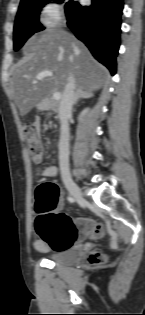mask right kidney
I'll list each match as a JSON object with an SVG mask.
<instances>
[{
    "instance_id": "right-kidney-1",
    "label": "right kidney",
    "mask_w": 145,
    "mask_h": 315,
    "mask_svg": "<svg viewBox=\"0 0 145 315\" xmlns=\"http://www.w3.org/2000/svg\"><path fill=\"white\" fill-rule=\"evenodd\" d=\"M87 111H88V109H84V110L81 112V114H80V116H79V119H80V120H81L82 117L87 113Z\"/></svg>"
}]
</instances>
